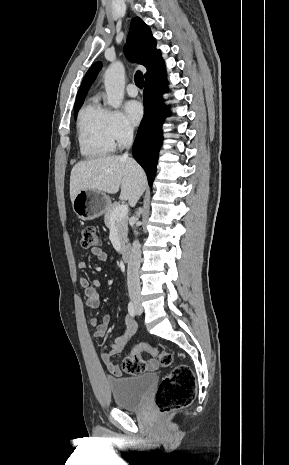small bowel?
<instances>
[{
  "label": "small bowel",
  "mask_w": 289,
  "mask_h": 465,
  "mask_svg": "<svg viewBox=\"0 0 289 465\" xmlns=\"http://www.w3.org/2000/svg\"><path fill=\"white\" fill-rule=\"evenodd\" d=\"M91 254L99 261L101 262H114V258L110 256L107 252L102 250L100 247L91 249ZM78 267L80 269H86L87 264L84 260H80L78 262ZM79 284L80 286L84 289V294H85V300H86V305L91 308V309H96L100 305V294H99V288L101 287V282L98 279H94L92 282L89 281L88 278L81 276L79 278ZM112 321V317L110 315H105L102 317L101 320H96L92 319L91 324L95 326V332H94V337L96 338H102L106 335L108 327ZM126 322V329L123 333V335L116 340H114L110 348L107 349L106 347H103L101 350V358L110 372L113 376H121L122 375V370L121 368L113 362L112 358L116 354L120 353L127 342L128 338L135 333L137 325L134 320H132L130 317H126L125 319ZM158 367V361L156 359H151L147 362L146 368L148 370H155Z\"/></svg>",
  "instance_id": "1"
}]
</instances>
